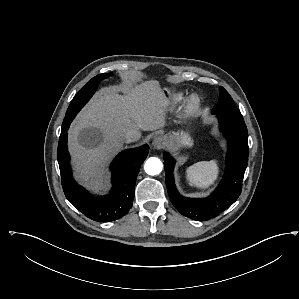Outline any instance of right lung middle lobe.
Masks as SVG:
<instances>
[{
  "mask_svg": "<svg viewBox=\"0 0 299 299\" xmlns=\"http://www.w3.org/2000/svg\"><path fill=\"white\" fill-rule=\"evenodd\" d=\"M109 73H103L92 78L73 98L66 112L62 128L66 125H70L79 110L88 102V100L94 94L99 82L102 79L109 77Z\"/></svg>",
  "mask_w": 299,
  "mask_h": 299,
  "instance_id": "dd1d6c3e",
  "label": "right lung middle lobe"
}]
</instances>
